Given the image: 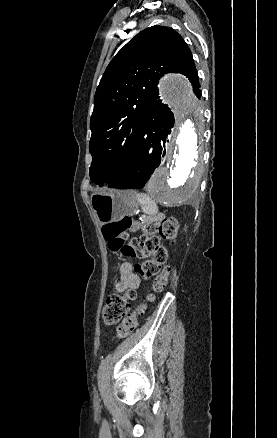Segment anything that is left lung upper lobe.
I'll return each mask as SVG.
<instances>
[{
    "label": "left lung upper lobe",
    "mask_w": 277,
    "mask_h": 438,
    "mask_svg": "<svg viewBox=\"0 0 277 438\" xmlns=\"http://www.w3.org/2000/svg\"><path fill=\"white\" fill-rule=\"evenodd\" d=\"M181 73L200 97L192 53L172 28L152 26L132 38L107 66L90 119V178L99 185L116 181L132 158L146 106L158 97V80Z\"/></svg>",
    "instance_id": "obj_1"
}]
</instances>
